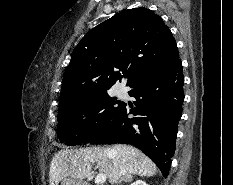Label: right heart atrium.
<instances>
[{
    "mask_svg": "<svg viewBox=\"0 0 233 185\" xmlns=\"http://www.w3.org/2000/svg\"><path fill=\"white\" fill-rule=\"evenodd\" d=\"M85 121H86V122L88 121V117L85 118Z\"/></svg>",
    "mask_w": 233,
    "mask_h": 185,
    "instance_id": "right-heart-atrium-1",
    "label": "right heart atrium"
}]
</instances>
